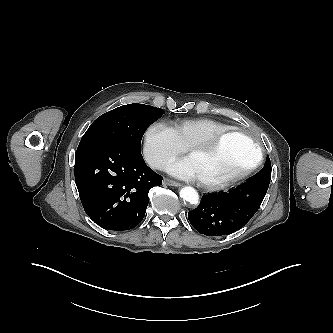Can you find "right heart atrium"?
I'll list each match as a JSON object with an SVG mask.
<instances>
[{"label":"right heart atrium","instance_id":"d8ad5b80","mask_svg":"<svg viewBox=\"0 0 333 333\" xmlns=\"http://www.w3.org/2000/svg\"><path fill=\"white\" fill-rule=\"evenodd\" d=\"M185 147L178 140L173 129L157 121L148 126L144 135V154L147 161L156 169L167 164L184 153Z\"/></svg>","mask_w":333,"mask_h":333}]
</instances>
